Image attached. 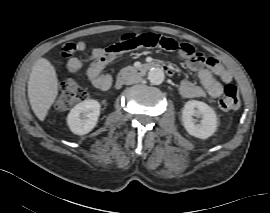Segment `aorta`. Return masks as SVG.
<instances>
[{
    "label": "aorta",
    "mask_w": 270,
    "mask_h": 213,
    "mask_svg": "<svg viewBox=\"0 0 270 213\" xmlns=\"http://www.w3.org/2000/svg\"><path fill=\"white\" fill-rule=\"evenodd\" d=\"M164 72L160 68H152L148 73V79L153 85H160L164 81Z\"/></svg>",
    "instance_id": "1"
}]
</instances>
